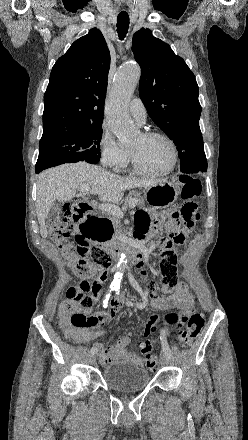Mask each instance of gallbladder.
I'll return each mask as SVG.
<instances>
[{
    "label": "gallbladder",
    "mask_w": 248,
    "mask_h": 440,
    "mask_svg": "<svg viewBox=\"0 0 248 440\" xmlns=\"http://www.w3.org/2000/svg\"><path fill=\"white\" fill-rule=\"evenodd\" d=\"M58 209H59V205L58 204H52L50 209H49L47 217L51 218L57 212Z\"/></svg>",
    "instance_id": "gallbladder-1"
}]
</instances>
